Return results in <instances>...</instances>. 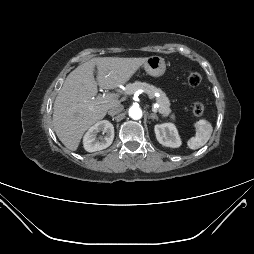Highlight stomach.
Here are the masks:
<instances>
[{
    "mask_svg": "<svg viewBox=\"0 0 254 254\" xmlns=\"http://www.w3.org/2000/svg\"><path fill=\"white\" fill-rule=\"evenodd\" d=\"M145 72L153 77H160L165 73L166 63L160 56H151L143 64Z\"/></svg>",
    "mask_w": 254,
    "mask_h": 254,
    "instance_id": "obj_1",
    "label": "stomach"
}]
</instances>
